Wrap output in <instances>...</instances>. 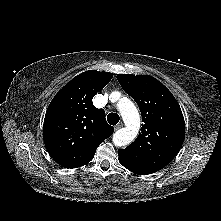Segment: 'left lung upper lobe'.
<instances>
[{"mask_svg":"<svg viewBox=\"0 0 221 221\" xmlns=\"http://www.w3.org/2000/svg\"><path fill=\"white\" fill-rule=\"evenodd\" d=\"M123 90L138 104L142 115L141 133L118 154L158 171L179 152L185 135L181 108L172 93L150 75L121 74Z\"/></svg>","mask_w":221,"mask_h":221,"instance_id":"left-lung-upper-lobe-1","label":"left lung upper lobe"}]
</instances>
